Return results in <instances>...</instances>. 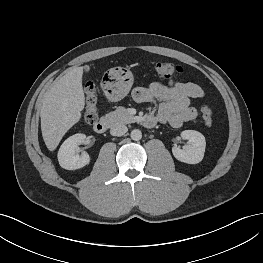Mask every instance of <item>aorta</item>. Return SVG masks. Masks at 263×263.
<instances>
[{
    "mask_svg": "<svg viewBox=\"0 0 263 263\" xmlns=\"http://www.w3.org/2000/svg\"><path fill=\"white\" fill-rule=\"evenodd\" d=\"M131 139L134 141H139L142 138V133L139 129H134L131 131Z\"/></svg>",
    "mask_w": 263,
    "mask_h": 263,
    "instance_id": "762f6f07",
    "label": "aorta"
}]
</instances>
